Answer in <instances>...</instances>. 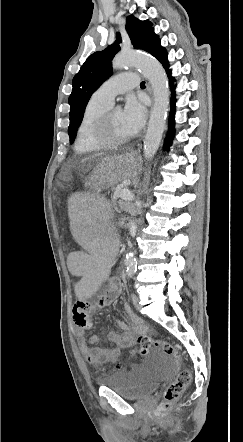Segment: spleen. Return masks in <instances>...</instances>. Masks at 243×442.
I'll return each instance as SVG.
<instances>
[{
  "label": "spleen",
  "mask_w": 243,
  "mask_h": 442,
  "mask_svg": "<svg viewBox=\"0 0 243 442\" xmlns=\"http://www.w3.org/2000/svg\"><path fill=\"white\" fill-rule=\"evenodd\" d=\"M90 190H105V185H90ZM107 193H96L92 200L91 193H65L64 201L70 205L73 237L81 242L85 254H78L73 265L76 274H81L80 287H75V296H83L85 302H90L92 296H98L100 286L109 280L112 258H117L116 239H109L106 222L111 219L113 212L106 205Z\"/></svg>",
  "instance_id": "spleen-1"
}]
</instances>
